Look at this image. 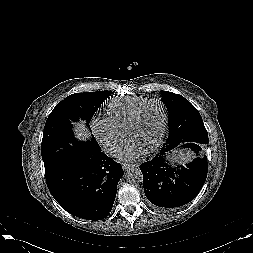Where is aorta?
I'll return each mask as SVG.
<instances>
[{
  "label": "aorta",
  "instance_id": "obj_1",
  "mask_svg": "<svg viewBox=\"0 0 253 253\" xmlns=\"http://www.w3.org/2000/svg\"><path fill=\"white\" fill-rule=\"evenodd\" d=\"M126 180L131 184L140 183L143 180V174L138 168H131L126 173Z\"/></svg>",
  "mask_w": 253,
  "mask_h": 253
}]
</instances>
